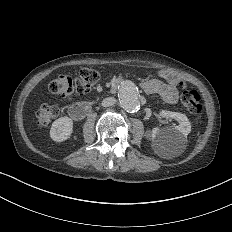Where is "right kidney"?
I'll list each match as a JSON object with an SVG mask.
<instances>
[{"instance_id":"ca27d5eb","label":"right kidney","mask_w":232,"mask_h":232,"mask_svg":"<svg viewBox=\"0 0 232 232\" xmlns=\"http://www.w3.org/2000/svg\"><path fill=\"white\" fill-rule=\"evenodd\" d=\"M73 121L69 117H61L52 123L50 137L52 140L62 142L72 133Z\"/></svg>"}]
</instances>
